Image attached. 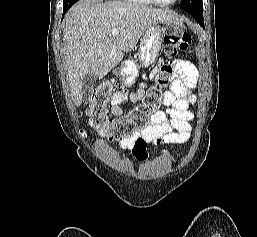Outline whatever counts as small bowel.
<instances>
[{
  "mask_svg": "<svg viewBox=\"0 0 257 237\" xmlns=\"http://www.w3.org/2000/svg\"><path fill=\"white\" fill-rule=\"evenodd\" d=\"M174 65L177 75L172 78L170 90L164 94L165 110L154 114L150 123L141 132L120 143L121 149L137 161L148 159V144H182L190 138L189 122L193 119V114L189 111V105L196 101L192 89L197 83L198 72L196 67L186 60H176ZM143 96V84L130 95L125 90L118 91L113 100L111 113L114 116L121 115L127 100L135 105Z\"/></svg>",
  "mask_w": 257,
  "mask_h": 237,
  "instance_id": "obj_1",
  "label": "small bowel"
}]
</instances>
